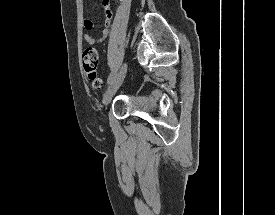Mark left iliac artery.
Returning <instances> with one entry per match:
<instances>
[{
	"label": "left iliac artery",
	"mask_w": 275,
	"mask_h": 215,
	"mask_svg": "<svg viewBox=\"0 0 275 215\" xmlns=\"http://www.w3.org/2000/svg\"><path fill=\"white\" fill-rule=\"evenodd\" d=\"M115 74H116V71H112V72L110 73V75L108 76V79H107V83H108V84H110V83L113 81V79H114V77H115Z\"/></svg>",
	"instance_id": "left-iliac-artery-1"
}]
</instances>
